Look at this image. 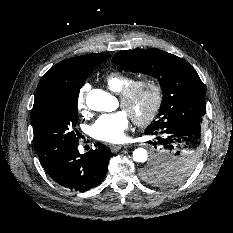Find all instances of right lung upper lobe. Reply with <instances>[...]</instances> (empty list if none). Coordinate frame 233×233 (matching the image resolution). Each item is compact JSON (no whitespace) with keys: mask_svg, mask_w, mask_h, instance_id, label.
Instances as JSON below:
<instances>
[{"mask_svg":"<svg viewBox=\"0 0 233 233\" xmlns=\"http://www.w3.org/2000/svg\"><path fill=\"white\" fill-rule=\"evenodd\" d=\"M109 57L108 53H95L57 63L40 80L34 105L51 95L73 92L95 67Z\"/></svg>","mask_w":233,"mask_h":233,"instance_id":"1","label":"right lung upper lobe"}]
</instances>
